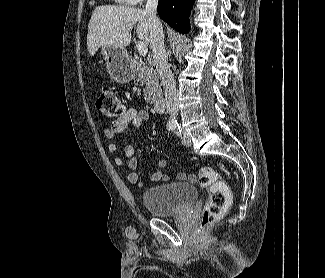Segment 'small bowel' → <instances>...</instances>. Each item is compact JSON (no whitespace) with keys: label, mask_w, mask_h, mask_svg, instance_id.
<instances>
[{"label":"small bowel","mask_w":325,"mask_h":278,"mask_svg":"<svg viewBox=\"0 0 325 278\" xmlns=\"http://www.w3.org/2000/svg\"><path fill=\"white\" fill-rule=\"evenodd\" d=\"M148 119L149 113L146 110L131 108L128 109L123 116L116 119L110 127L105 128L103 134L107 139H113L116 135L124 133L129 125H132L134 128H138ZM108 150L115 156V165L122 167L126 164L129 168L127 180L136 185L138 188H141L143 184L139 179V173L137 171L139 160L135 148L132 145H128L121 150L118 145L111 143L108 146ZM165 164L166 163L163 159L156 161L150 176L152 183H159L168 180V176L163 172ZM178 178L184 179L185 175L179 174Z\"/></svg>","instance_id":"obj_1"}]
</instances>
